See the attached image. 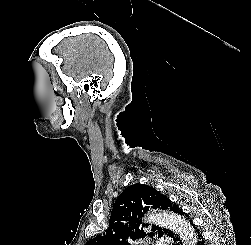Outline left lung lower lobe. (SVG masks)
Listing matches in <instances>:
<instances>
[{
  "instance_id": "left-lung-lower-lobe-1",
  "label": "left lung lower lobe",
  "mask_w": 251,
  "mask_h": 245,
  "mask_svg": "<svg viewBox=\"0 0 251 245\" xmlns=\"http://www.w3.org/2000/svg\"><path fill=\"white\" fill-rule=\"evenodd\" d=\"M180 215H183L184 217L188 216L182 211V209L179 211ZM190 225L193 229V233H194V243L195 245H205L203 237L201 235V232L199 231V229L192 223L190 222ZM170 240V242L172 243V245H180V239L178 238V236L176 234L169 233L167 236Z\"/></svg>"
}]
</instances>
